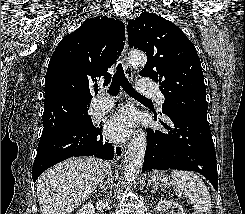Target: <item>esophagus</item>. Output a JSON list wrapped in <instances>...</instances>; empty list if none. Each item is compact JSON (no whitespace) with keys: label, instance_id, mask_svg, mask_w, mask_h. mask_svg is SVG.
Wrapping results in <instances>:
<instances>
[{"label":"esophagus","instance_id":"obj_1","mask_svg":"<svg viewBox=\"0 0 245 214\" xmlns=\"http://www.w3.org/2000/svg\"><path fill=\"white\" fill-rule=\"evenodd\" d=\"M122 22H123V24L126 27V22H125L124 19H122ZM127 54H128V43H127V38H126L125 46H124V49H123V52H122L121 59H122L123 68H124V71H125V74H126L127 78L132 80L133 77H134V74H133L132 67L128 63ZM114 151H115V156L118 159L122 158L123 154H124V146L122 144H120V143H116V144H114Z\"/></svg>","mask_w":245,"mask_h":214}]
</instances>
